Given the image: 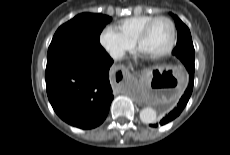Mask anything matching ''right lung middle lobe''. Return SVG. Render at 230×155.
Wrapping results in <instances>:
<instances>
[{
    "label": "right lung middle lobe",
    "instance_id": "obj_1",
    "mask_svg": "<svg viewBox=\"0 0 230 155\" xmlns=\"http://www.w3.org/2000/svg\"><path fill=\"white\" fill-rule=\"evenodd\" d=\"M111 17L82 13L58 28L48 49L47 63L69 57H97L107 54L99 42Z\"/></svg>",
    "mask_w": 230,
    "mask_h": 155
}]
</instances>
